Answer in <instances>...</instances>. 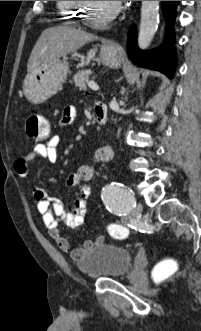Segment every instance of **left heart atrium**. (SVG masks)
<instances>
[{"mask_svg": "<svg viewBox=\"0 0 201 331\" xmlns=\"http://www.w3.org/2000/svg\"><path fill=\"white\" fill-rule=\"evenodd\" d=\"M116 7L119 6L122 1H111Z\"/></svg>", "mask_w": 201, "mask_h": 331, "instance_id": "left-heart-atrium-1", "label": "left heart atrium"}]
</instances>
